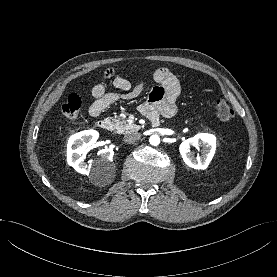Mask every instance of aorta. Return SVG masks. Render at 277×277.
Here are the masks:
<instances>
[{"label":"aorta","mask_w":277,"mask_h":277,"mask_svg":"<svg viewBox=\"0 0 277 277\" xmlns=\"http://www.w3.org/2000/svg\"><path fill=\"white\" fill-rule=\"evenodd\" d=\"M149 142L153 146H157L160 144V137L158 135H152L149 139Z\"/></svg>","instance_id":"obj_1"}]
</instances>
